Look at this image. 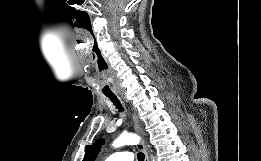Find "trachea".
I'll use <instances>...</instances> for the list:
<instances>
[{
  "instance_id": "trachea-1",
  "label": "trachea",
  "mask_w": 261,
  "mask_h": 161,
  "mask_svg": "<svg viewBox=\"0 0 261 161\" xmlns=\"http://www.w3.org/2000/svg\"><path fill=\"white\" fill-rule=\"evenodd\" d=\"M109 99L112 101V103L120 110L123 111V107L120 104V101L118 100V98L116 96H108ZM145 155L144 153L140 152L137 154V159L138 161H144Z\"/></svg>"
}]
</instances>
